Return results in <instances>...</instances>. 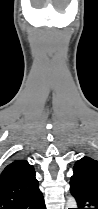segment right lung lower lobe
<instances>
[{"label":"right lung lower lobe","mask_w":98,"mask_h":209,"mask_svg":"<svg viewBox=\"0 0 98 209\" xmlns=\"http://www.w3.org/2000/svg\"><path fill=\"white\" fill-rule=\"evenodd\" d=\"M13 209H46L42 192L40 190L36 191L31 197Z\"/></svg>","instance_id":"98d812e1"}]
</instances>
